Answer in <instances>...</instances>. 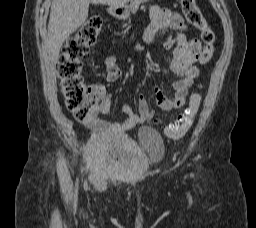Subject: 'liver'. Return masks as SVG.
<instances>
[{"label":"liver","instance_id":"1","mask_svg":"<svg viewBox=\"0 0 256 228\" xmlns=\"http://www.w3.org/2000/svg\"><path fill=\"white\" fill-rule=\"evenodd\" d=\"M129 0H53L47 33L48 53L53 62L65 40L88 18L90 3L121 7Z\"/></svg>","mask_w":256,"mask_h":228}]
</instances>
